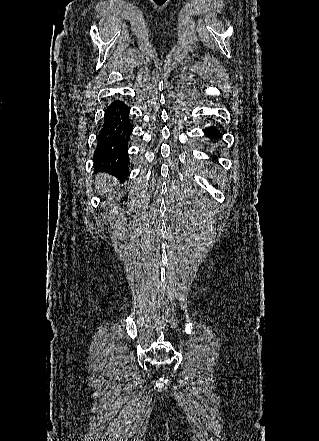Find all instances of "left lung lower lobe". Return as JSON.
I'll return each instance as SVG.
<instances>
[{
	"instance_id": "1",
	"label": "left lung lower lobe",
	"mask_w": 319,
	"mask_h": 441,
	"mask_svg": "<svg viewBox=\"0 0 319 441\" xmlns=\"http://www.w3.org/2000/svg\"><path fill=\"white\" fill-rule=\"evenodd\" d=\"M204 132L211 141H216L221 137L220 131L215 126L205 128Z\"/></svg>"
}]
</instances>
